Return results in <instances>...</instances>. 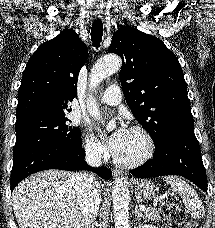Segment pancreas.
I'll return each mask as SVG.
<instances>
[{"label":"pancreas","mask_w":215,"mask_h":228,"mask_svg":"<svg viewBox=\"0 0 215 228\" xmlns=\"http://www.w3.org/2000/svg\"><path fill=\"white\" fill-rule=\"evenodd\" d=\"M144 218L146 220H160V214L157 208H147L144 212Z\"/></svg>","instance_id":"1"}]
</instances>
